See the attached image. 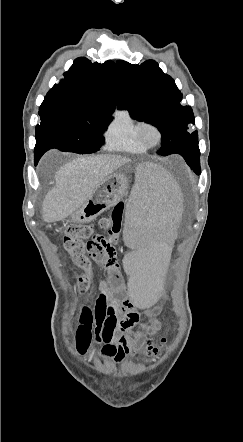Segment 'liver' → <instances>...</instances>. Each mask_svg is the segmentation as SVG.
I'll use <instances>...</instances> for the list:
<instances>
[{
    "instance_id": "obj_1",
    "label": "liver",
    "mask_w": 243,
    "mask_h": 442,
    "mask_svg": "<svg viewBox=\"0 0 243 442\" xmlns=\"http://www.w3.org/2000/svg\"><path fill=\"white\" fill-rule=\"evenodd\" d=\"M130 162L119 155L80 156L62 166L55 175V186L42 205L45 222H57L72 215L92 195L101 182Z\"/></svg>"
}]
</instances>
